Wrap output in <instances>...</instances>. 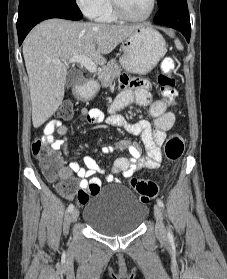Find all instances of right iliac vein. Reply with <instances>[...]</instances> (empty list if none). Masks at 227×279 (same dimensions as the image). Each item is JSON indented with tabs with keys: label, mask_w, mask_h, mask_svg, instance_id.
Instances as JSON below:
<instances>
[{
	"label": "right iliac vein",
	"mask_w": 227,
	"mask_h": 279,
	"mask_svg": "<svg viewBox=\"0 0 227 279\" xmlns=\"http://www.w3.org/2000/svg\"><path fill=\"white\" fill-rule=\"evenodd\" d=\"M78 217H79V210L77 208H75L71 212V220L73 222H75V221H77Z\"/></svg>",
	"instance_id": "63e3f726"
}]
</instances>
